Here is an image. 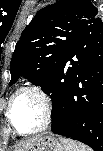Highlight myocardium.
Returning <instances> with one entry per match:
<instances>
[{"mask_svg":"<svg viewBox=\"0 0 103 151\" xmlns=\"http://www.w3.org/2000/svg\"><path fill=\"white\" fill-rule=\"evenodd\" d=\"M25 93L33 94L34 96H36L38 98V100L41 103L42 109H43V118H42L41 124L37 128H35L31 131L22 132L16 127V125L12 119V108H13V105H14L16 99L20 95L25 94ZM52 113H53V106H52V101H51L49 94L40 86L30 85V86H25V87L18 89L12 95V97L10 98V101L8 103L6 116H7L9 124L11 125V127L17 134L22 135V136H27V135H32V134L41 132L44 129H46L51 122Z\"/></svg>","mask_w":103,"mask_h":151,"instance_id":"1","label":"myocardium"}]
</instances>
